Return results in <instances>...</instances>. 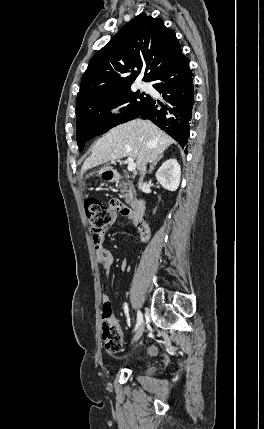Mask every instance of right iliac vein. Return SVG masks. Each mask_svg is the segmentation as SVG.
Masks as SVG:
<instances>
[{
	"mask_svg": "<svg viewBox=\"0 0 264 429\" xmlns=\"http://www.w3.org/2000/svg\"><path fill=\"white\" fill-rule=\"evenodd\" d=\"M144 328H145L144 322H142L133 337L132 343L137 342L141 338L144 332Z\"/></svg>",
	"mask_w": 264,
	"mask_h": 429,
	"instance_id": "1",
	"label": "right iliac vein"
}]
</instances>
